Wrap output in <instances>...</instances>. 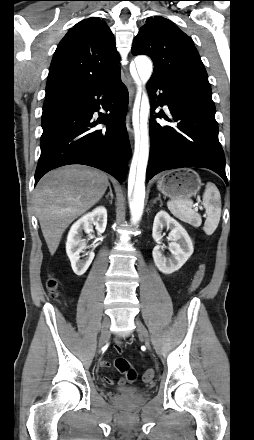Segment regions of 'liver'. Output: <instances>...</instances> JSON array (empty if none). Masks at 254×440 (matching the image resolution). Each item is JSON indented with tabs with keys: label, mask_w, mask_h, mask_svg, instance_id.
<instances>
[{
	"label": "liver",
	"mask_w": 254,
	"mask_h": 440,
	"mask_svg": "<svg viewBox=\"0 0 254 440\" xmlns=\"http://www.w3.org/2000/svg\"><path fill=\"white\" fill-rule=\"evenodd\" d=\"M108 176L83 165L48 172L34 190V205L49 252L54 255L67 227L105 194Z\"/></svg>",
	"instance_id": "obj_1"
}]
</instances>
